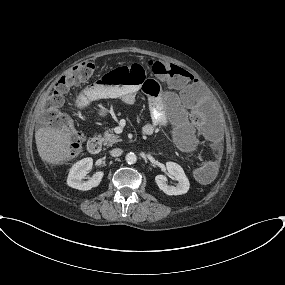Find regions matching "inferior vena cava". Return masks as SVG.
<instances>
[{"instance_id": "1", "label": "inferior vena cava", "mask_w": 285, "mask_h": 285, "mask_svg": "<svg viewBox=\"0 0 285 285\" xmlns=\"http://www.w3.org/2000/svg\"><path fill=\"white\" fill-rule=\"evenodd\" d=\"M122 153H123V151H122V149H120V148H115V149H112V150L110 151V154H111V156H113V157H118V156H120Z\"/></svg>"}]
</instances>
